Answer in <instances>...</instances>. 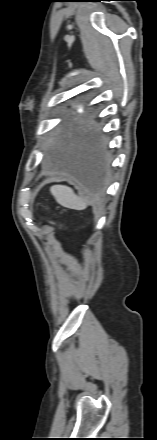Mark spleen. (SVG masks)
<instances>
[{
  "label": "spleen",
  "mask_w": 157,
  "mask_h": 440,
  "mask_svg": "<svg viewBox=\"0 0 157 440\" xmlns=\"http://www.w3.org/2000/svg\"><path fill=\"white\" fill-rule=\"evenodd\" d=\"M50 192L56 201L63 207L73 210H84L87 207V202L76 195L68 186L53 185L50 187Z\"/></svg>",
  "instance_id": "spleen-1"
}]
</instances>
